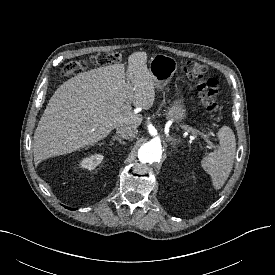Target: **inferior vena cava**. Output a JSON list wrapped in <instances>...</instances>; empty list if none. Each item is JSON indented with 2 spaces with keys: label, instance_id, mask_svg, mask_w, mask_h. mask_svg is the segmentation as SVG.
Instances as JSON below:
<instances>
[{
  "label": "inferior vena cava",
  "instance_id": "1",
  "mask_svg": "<svg viewBox=\"0 0 275 275\" xmlns=\"http://www.w3.org/2000/svg\"><path fill=\"white\" fill-rule=\"evenodd\" d=\"M116 133L124 139H132L136 137L138 130L135 126L121 125L116 128Z\"/></svg>",
  "mask_w": 275,
  "mask_h": 275
}]
</instances>
